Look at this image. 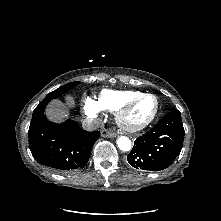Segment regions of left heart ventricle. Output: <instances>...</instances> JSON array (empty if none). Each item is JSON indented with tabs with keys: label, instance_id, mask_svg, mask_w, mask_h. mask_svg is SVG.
Segmentation results:
<instances>
[{
	"label": "left heart ventricle",
	"instance_id": "obj_1",
	"mask_svg": "<svg viewBox=\"0 0 221 221\" xmlns=\"http://www.w3.org/2000/svg\"><path fill=\"white\" fill-rule=\"evenodd\" d=\"M155 100L146 97L135 103L127 113L126 120L129 124L138 125L145 122L154 112Z\"/></svg>",
	"mask_w": 221,
	"mask_h": 221
}]
</instances>
